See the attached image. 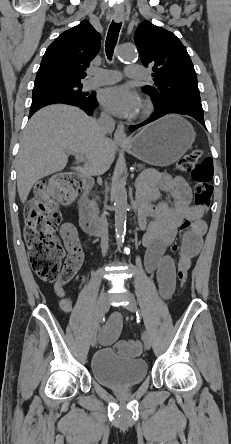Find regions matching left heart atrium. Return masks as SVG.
Masks as SVG:
<instances>
[{
    "label": "left heart atrium",
    "mask_w": 231,
    "mask_h": 444,
    "mask_svg": "<svg viewBox=\"0 0 231 444\" xmlns=\"http://www.w3.org/2000/svg\"><path fill=\"white\" fill-rule=\"evenodd\" d=\"M99 101L108 112L120 117L135 114L140 105L137 95L124 86L103 89Z\"/></svg>",
    "instance_id": "1"
}]
</instances>
